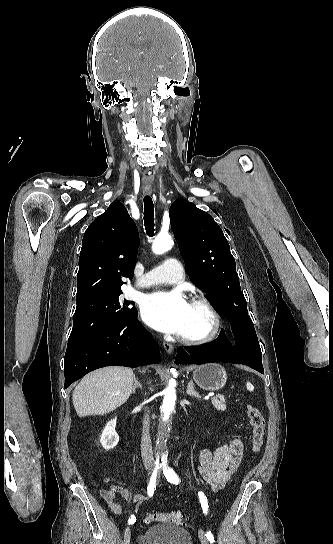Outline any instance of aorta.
<instances>
[{
    "instance_id": "obj_1",
    "label": "aorta",
    "mask_w": 333,
    "mask_h": 544,
    "mask_svg": "<svg viewBox=\"0 0 333 544\" xmlns=\"http://www.w3.org/2000/svg\"><path fill=\"white\" fill-rule=\"evenodd\" d=\"M173 240L169 234H159L152 245V250L155 254H164L171 249ZM173 371V370H172ZM176 391L174 388V380H170L168 387L164 390V399L161 407L162 421L164 424L159 428L157 434V451L161 459L165 458V445L168 439V429L165 422L169 419L171 412L175 407Z\"/></svg>"
}]
</instances>
